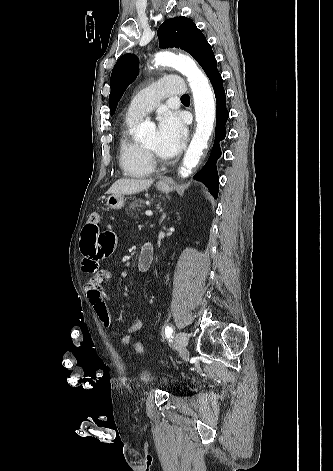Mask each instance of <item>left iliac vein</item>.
Listing matches in <instances>:
<instances>
[{
	"label": "left iliac vein",
	"mask_w": 333,
	"mask_h": 471,
	"mask_svg": "<svg viewBox=\"0 0 333 471\" xmlns=\"http://www.w3.org/2000/svg\"><path fill=\"white\" fill-rule=\"evenodd\" d=\"M189 336L185 332H179L175 337V344L181 357H184L187 352V345Z\"/></svg>",
	"instance_id": "1"
}]
</instances>
